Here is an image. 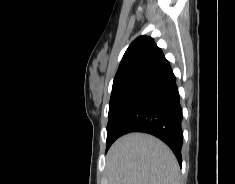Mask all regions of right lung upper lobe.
I'll return each mask as SVG.
<instances>
[{
	"instance_id": "obj_1",
	"label": "right lung upper lobe",
	"mask_w": 235,
	"mask_h": 184,
	"mask_svg": "<svg viewBox=\"0 0 235 184\" xmlns=\"http://www.w3.org/2000/svg\"><path fill=\"white\" fill-rule=\"evenodd\" d=\"M165 57L151 37L140 36L126 50L113 81V90L130 87L156 68Z\"/></svg>"
}]
</instances>
